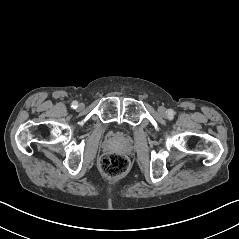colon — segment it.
Returning <instances> with one entry per match:
<instances>
[{"mask_svg":"<svg viewBox=\"0 0 239 239\" xmlns=\"http://www.w3.org/2000/svg\"><path fill=\"white\" fill-rule=\"evenodd\" d=\"M129 167V160L123 154L108 153L100 161V169L106 176L116 177L124 174Z\"/></svg>","mask_w":239,"mask_h":239,"instance_id":"1","label":"colon"}]
</instances>
